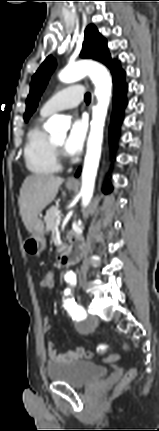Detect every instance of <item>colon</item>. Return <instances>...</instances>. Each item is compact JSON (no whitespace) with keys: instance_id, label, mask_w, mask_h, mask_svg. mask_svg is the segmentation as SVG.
Returning a JSON list of instances; mask_svg holds the SVG:
<instances>
[{"instance_id":"5ec220e1","label":"colon","mask_w":159,"mask_h":431,"mask_svg":"<svg viewBox=\"0 0 159 431\" xmlns=\"http://www.w3.org/2000/svg\"><path fill=\"white\" fill-rule=\"evenodd\" d=\"M54 270L52 269L51 272V277L48 278L49 279V292H54V290L57 287L56 284V279L53 276ZM85 357L93 359V358H97V355H95L92 352H85ZM105 356L102 354L101 358L103 359ZM124 356L121 354H115V356L113 354H107V358L104 359L105 363H117L118 359H122ZM136 376V371L134 369L129 370L126 375L124 376V378L121 381V386H124L126 384H128L130 381H132L134 379V377Z\"/></svg>"}]
</instances>
